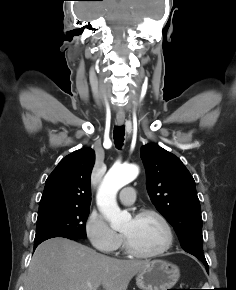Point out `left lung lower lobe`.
<instances>
[{
  "label": "left lung lower lobe",
  "mask_w": 236,
  "mask_h": 290,
  "mask_svg": "<svg viewBox=\"0 0 236 290\" xmlns=\"http://www.w3.org/2000/svg\"><path fill=\"white\" fill-rule=\"evenodd\" d=\"M205 266H206V268H207V271H208V269H209V268H208V265H205Z\"/></svg>",
  "instance_id": "0a47b994"
}]
</instances>
